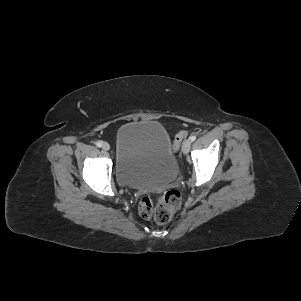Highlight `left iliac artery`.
Instances as JSON below:
<instances>
[{
  "label": "left iliac artery",
  "instance_id": "obj_1",
  "mask_svg": "<svg viewBox=\"0 0 301 301\" xmlns=\"http://www.w3.org/2000/svg\"><path fill=\"white\" fill-rule=\"evenodd\" d=\"M190 140H191V142H193V141H195V139H196V136L195 135H192V136H190V138H189Z\"/></svg>",
  "mask_w": 301,
  "mask_h": 301
}]
</instances>
